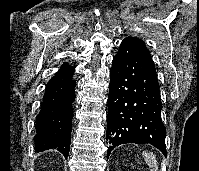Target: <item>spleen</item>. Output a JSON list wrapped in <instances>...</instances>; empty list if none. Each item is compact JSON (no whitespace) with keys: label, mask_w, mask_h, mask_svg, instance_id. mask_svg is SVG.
Instances as JSON below:
<instances>
[{"label":"spleen","mask_w":199,"mask_h":171,"mask_svg":"<svg viewBox=\"0 0 199 171\" xmlns=\"http://www.w3.org/2000/svg\"><path fill=\"white\" fill-rule=\"evenodd\" d=\"M146 163L148 164L150 171H157L158 170V165H157V160L156 156L152 152H143L142 153Z\"/></svg>","instance_id":"obj_1"}]
</instances>
